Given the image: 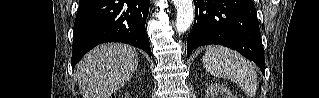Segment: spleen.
Here are the masks:
<instances>
[{"mask_svg":"<svg viewBox=\"0 0 319 98\" xmlns=\"http://www.w3.org/2000/svg\"><path fill=\"white\" fill-rule=\"evenodd\" d=\"M203 63L213 76L232 80L250 97L255 96L256 69L237 52L223 46L208 47L203 56Z\"/></svg>","mask_w":319,"mask_h":98,"instance_id":"obj_1","label":"spleen"}]
</instances>
